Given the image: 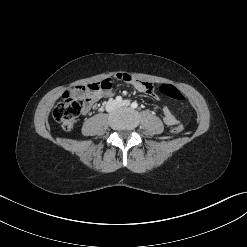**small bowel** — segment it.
Instances as JSON below:
<instances>
[{
  "label": "small bowel",
  "instance_id": "small-bowel-1",
  "mask_svg": "<svg viewBox=\"0 0 247 247\" xmlns=\"http://www.w3.org/2000/svg\"><path fill=\"white\" fill-rule=\"evenodd\" d=\"M118 78L131 84L137 91H139L141 93L151 94L154 92V87L151 83L143 81V80L135 79L132 76H130L129 74H126V73L118 74ZM113 94H114V90L111 87L109 90L103 92L99 96V98L100 97H109V96H112ZM76 96H77V98H79L80 100L83 101V106H82L83 114L89 113L94 102L88 101L86 99V97L84 96V94L81 93L80 91H77ZM163 121L168 126H173V125L177 124V122H178L176 116L174 115V113L171 111V109L168 106H165L163 108Z\"/></svg>",
  "mask_w": 247,
  "mask_h": 247
}]
</instances>
